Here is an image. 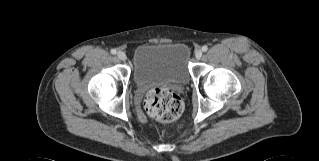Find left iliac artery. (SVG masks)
Returning a JSON list of instances; mask_svg holds the SVG:
<instances>
[{
    "mask_svg": "<svg viewBox=\"0 0 319 161\" xmlns=\"http://www.w3.org/2000/svg\"><path fill=\"white\" fill-rule=\"evenodd\" d=\"M207 50H208V47H207V46H203V47H202V51L205 52V51H207Z\"/></svg>",
    "mask_w": 319,
    "mask_h": 161,
    "instance_id": "44dca946",
    "label": "left iliac artery"
}]
</instances>
